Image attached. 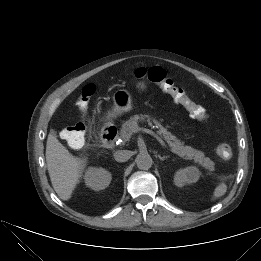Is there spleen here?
Masks as SVG:
<instances>
[{"label": "spleen", "mask_w": 261, "mask_h": 261, "mask_svg": "<svg viewBox=\"0 0 261 261\" xmlns=\"http://www.w3.org/2000/svg\"><path fill=\"white\" fill-rule=\"evenodd\" d=\"M226 191H227V185L224 182H221L214 189L211 200L215 201V200L221 198L222 196L225 195Z\"/></svg>", "instance_id": "obj_1"}]
</instances>
